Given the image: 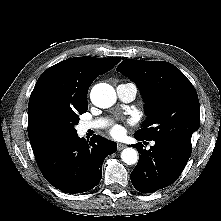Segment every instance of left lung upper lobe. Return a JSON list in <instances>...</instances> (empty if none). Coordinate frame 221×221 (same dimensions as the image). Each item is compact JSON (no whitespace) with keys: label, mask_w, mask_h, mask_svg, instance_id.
Instances as JSON below:
<instances>
[{"label":"left lung upper lobe","mask_w":221,"mask_h":221,"mask_svg":"<svg viewBox=\"0 0 221 221\" xmlns=\"http://www.w3.org/2000/svg\"><path fill=\"white\" fill-rule=\"evenodd\" d=\"M141 89L148 119L135 136L162 139L192 151L191 137L199 129L200 104L195 88L173 64L127 59L116 68Z\"/></svg>","instance_id":"obj_1"}]
</instances>
